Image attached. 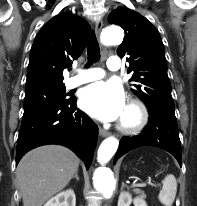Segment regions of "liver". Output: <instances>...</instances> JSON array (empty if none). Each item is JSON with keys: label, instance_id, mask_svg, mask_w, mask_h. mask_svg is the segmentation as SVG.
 Listing matches in <instances>:
<instances>
[{"label": "liver", "instance_id": "liver-1", "mask_svg": "<svg viewBox=\"0 0 197 206\" xmlns=\"http://www.w3.org/2000/svg\"><path fill=\"white\" fill-rule=\"evenodd\" d=\"M79 158L59 145L41 146L28 152L16 170L23 206H42L69 183Z\"/></svg>", "mask_w": 197, "mask_h": 206}]
</instances>
